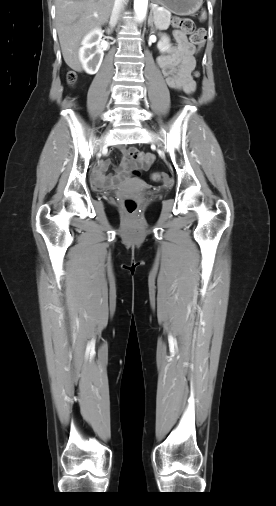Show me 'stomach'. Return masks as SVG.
Here are the masks:
<instances>
[{"mask_svg": "<svg viewBox=\"0 0 276 506\" xmlns=\"http://www.w3.org/2000/svg\"><path fill=\"white\" fill-rule=\"evenodd\" d=\"M176 15H191L202 6L203 0H152Z\"/></svg>", "mask_w": 276, "mask_h": 506, "instance_id": "0dacf381", "label": "stomach"}]
</instances>
